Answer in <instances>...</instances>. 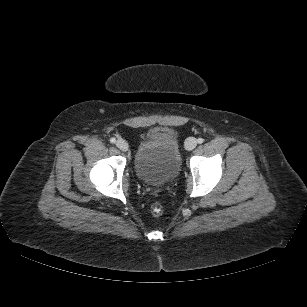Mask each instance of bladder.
<instances>
[{
  "mask_svg": "<svg viewBox=\"0 0 307 307\" xmlns=\"http://www.w3.org/2000/svg\"><path fill=\"white\" fill-rule=\"evenodd\" d=\"M133 166L137 177L151 185H165L181 169L178 139L168 128L150 130L137 146Z\"/></svg>",
  "mask_w": 307,
  "mask_h": 307,
  "instance_id": "31cf9c89",
  "label": "bladder"
}]
</instances>
